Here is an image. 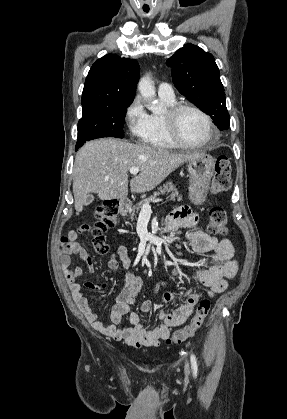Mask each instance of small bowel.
Segmentation results:
<instances>
[{
  "label": "small bowel",
  "mask_w": 287,
  "mask_h": 419,
  "mask_svg": "<svg viewBox=\"0 0 287 419\" xmlns=\"http://www.w3.org/2000/svg\"><path fill=\"white\" fill-rule=\"evenodd\" d=\"M198 216L186 206L175 209L166 221V226L170 230L178 228H189L186 237L194 252L205 253L213 252L211 266L208 269H195L193 274L196 279L207 289L199 291L190 289L185 292L182 303L172 312L160 311L159 317L161 325L153 329L146 328L140 320L137 312L129 315L130 325L119 327L122 316L130 311L135 303L136 296L142 288L141 278L131 271V260L127 249L119 246L116 252L110 254L108 268L111 271L118 269L119 264L127 271L125 284L116 299L110 313L111 323L101 321L97 314L90 307L87 298L82 292V286L95 291H103L107 285L104 282H86L83 285L77 279L92 273L95 269L94 262L88 252L78 242V236L82 228L71 230L61 238V249L59 251L60 263L64 271L65 278L70 286L73 298L85 316L87 321L99 332L115 340L123 341L127 345L140 348L142 346H157L161 340H166L172 333L174 327L183 324L192 314L196 303L203 297H213L223 292L227 288V280L233 278L238 271V261L235 249L231 241L224 237L215 238L207 233L203 228L197 226ZM76 256L86 263L85 267L70 269L72 257ZM166 281H160L155 286L154 292L157 293L160 286L165 285ZM176 296L172 293H165L162 296L164 302L174 301ZM141 311L148 313L153 309V302L146 300L142 302Z\"/></svg>",
  "instance_id": "small-bowel-1"
}]
</instances>
